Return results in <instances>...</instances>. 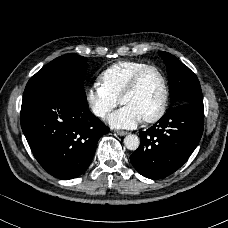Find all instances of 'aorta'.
Here are the masks:
<instances>
[{"instance_id": "762f6f07", "label": "aorta", "mask_w": 228, "mask_h": 228, "mask_svg": "<svg viewBox=\"0 0 228 228\" xmlns=\"http://www.w3.org/2000/svg\"><path fill=\"white\" fill-rule=\"evenodd\" d=\"M124 145L128 150H137L140 145V140L137 135L129 134L124 138Z\"/></svg>"}]
</instances>
